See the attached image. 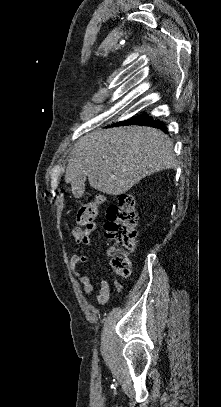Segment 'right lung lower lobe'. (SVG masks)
I'll list each match as a JSON object with an SVG mask.
<instances>
[{"label": "right lung lower lobe", "instance_id": "1", "mask_svg": "<svg viewBox=\"0 0 221 407\" xmlns=\"http://www.w3.org/2000/svg\"><path fill=\"white\" fill-rule=\"evenodd\" d=\"M118 124H124V125H147L155 128H159L162 130H165V126L163 122L153 119L152 116L147 115L146 113L141 114L139 116H134L129 120L117 123Z\"/></svg>", "mask_w": 221, "mask_h": 407}]
</instances>
